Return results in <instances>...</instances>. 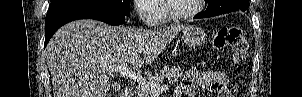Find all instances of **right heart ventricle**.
Instances as JSON below:
<instances>
[{
	"label": "right heart ventricle",
	"instance_id": "1",
	"mask_svg": "<svg viewBox=\"0 0 302 97\" xmlns=\"http://www.w3.org/2000/svg\"><path fill=\"white\" fill-rule=\"evenodd\" d=\"M159 8H160V21L159 22L161 24L168 23V18L166 17V15H165V13H164V11L162 9V4H160Z\"/></svg>",
	"mask_w": 302,
	"mask_h": 97
}]
</instances>
